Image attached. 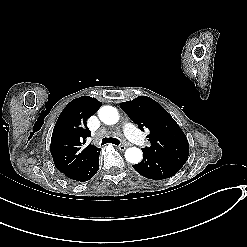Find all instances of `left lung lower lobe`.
I'll use <instances>...</instances> for the list:
<instances>
[{
	"instance_id": "0a47b994",
	"label": "left lung lower lobe",
	"mask_w": 247,
	"mask_h": 247,
	"mask_svg": "<svg viewBox=\"0 0 247 247\" xmlns=\"http://www.w3.org/2000/svg\"><path fill=\"white\" fill-rule=\"evenodd\" d=\"M133 168L148 179L161 180L175 175L182 168V165L162 156L143 151V160L139 164L133 165Z\"/></svg>"
}]
</instances>
